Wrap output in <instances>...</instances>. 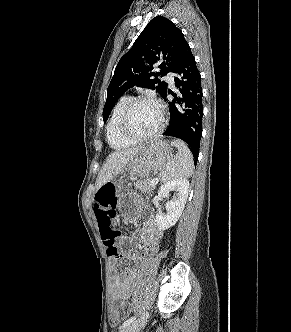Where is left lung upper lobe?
I'll return each instance as SVG.
<instances>
[{
    "label": "left lung upper lobe",
    "mask_w": 291,
    "mask_h": 332,
    "mask_svg": "<svg viewBox=\"0 0 291 332\" xmlns=\"http://www.w3.org/2000/svg\"><path fill=\"white\" fill-rule=\"evenodd\" d=\"M187 45L183 33L173 22L163 16L153 18L115 68L107 89L103 120L108 119L117 100L130 87L150 88L163 96L168 84L158 76L174 72ZM155 66L161 71H153ZM199 146V142L195 143L192 152L198 151Z\"/></svg>",
    "instance_id": "5c2ea615"
}]
</instances>
